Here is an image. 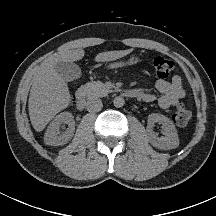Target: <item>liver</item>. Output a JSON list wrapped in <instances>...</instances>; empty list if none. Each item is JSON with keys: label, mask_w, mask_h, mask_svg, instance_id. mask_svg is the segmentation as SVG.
I'll return each instance as SVG.
<instances>
[{"label": "liver", "mask_w": 216, "mask_h": 216, "mask_svg": "<svg viewBox=\"0 0 216 216\" xmlns=\"http://www.w3.org/2000/svg\"><path fill=\"white\" fill-rule=\"evenodd\" d=\"M132 50L107 51L96 55V62L114 61L126 56ZM85 51L77 49L54 54L39 67L28 101L29 117L33 128L40 132L61 110L67 108L71 101L69 88L65 80L55 70L57 62L81 60Z\"/></svg>", "instance_id": "6515ba94"}]
</instances>
